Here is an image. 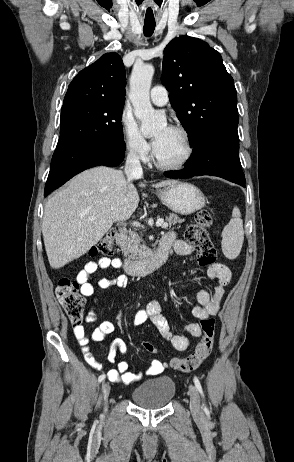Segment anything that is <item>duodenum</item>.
<instances>
[{
    "label": "duodenum",
    "instance_id": "obj_1",
    "mask_svg": "<svg viewBox=\"0 0 294 462\" xmlns=\"http://www.w3.org/2000/svg\"><path fill=\"white\" fill-rule=\"evenodd\" d=\"M127 229L120 228L116 234V243L119 247H125L127 244ZM169 245L161 242L153 252L144 259L132 260L126 259L124 268L130 276H141L154 272L160 268L168 258Z\"/></svg>",
    "mask_w": 294,
    "mask_h": 462
}]
</instances>
